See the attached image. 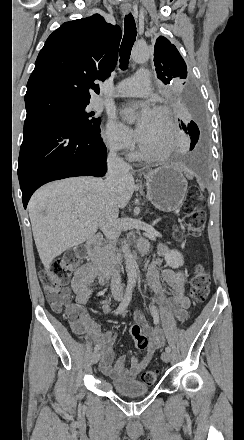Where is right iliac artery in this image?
<instances>
[{"label": "right iliac artery", "instance_id": "right-iliac-artery-1", "mask_svg": "<svg viewBox=\"0 0 244 440\" xmlns=\"http://www.w3.org/2000/svg\"><path fill=\"white\" fill-rule=\"evenodd\" d=\"M132 299V289L130 287H127L124 298L122 302L119 304L117 309L115 310V314H121L129 305L130 301ZM100 349V345H96L94 350L98 351Z\"/></svg>", "mask_w": 244, "mask_h": 440}]
</instances>
